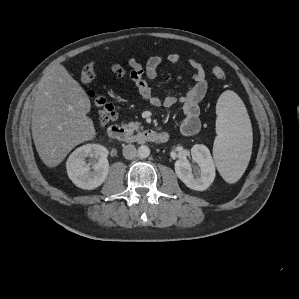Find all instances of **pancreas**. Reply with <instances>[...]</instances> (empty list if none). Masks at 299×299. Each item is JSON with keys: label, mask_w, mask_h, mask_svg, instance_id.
Instances as JSON below:
<instances>
[{"label": "pancreas", "mask_w": 299, "mask_h": 299, "mask_svg": "<svg viewBox=\"0 0 299 299\" xmlns=\"http://www.w3.org/2000/svg\"><path fill=\"white\" fill-rule=\"evenodd\" d=\"M124 127L126 129H128L130 132H133V131H139V130H142L144 127L141 126V123L140 122H129L128 124H125Z\"/></svg>", "instance_id": "pancreas-1"}]
</instances>
